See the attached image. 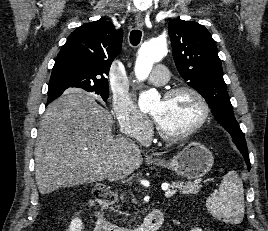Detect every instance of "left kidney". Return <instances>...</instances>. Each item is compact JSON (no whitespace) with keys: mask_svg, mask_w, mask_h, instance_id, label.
Listing matches in <instances>:
<instances>
[{"mask_svg":"<svg viewBox=\"0 0 268 231\" xmlns=\"http://www.w3.org/2000/svg\"><path fill=\"white\" fill-rule=\"evenodd\" d=\"M191 231H202V229L194 228V229H192Z\"/></svg>","mask_w":268,"mask_h":231,"instance_id":"5707ae66","label":"left kidney"}]
</instances>
